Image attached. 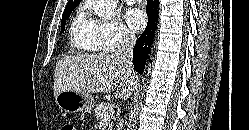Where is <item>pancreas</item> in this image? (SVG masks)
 I'll return each instance as SVG.
<instances>
[{"mask_svg":"<svg viewBox=\"0 0 249 130\" xmlns=\"http://www.w3.org/2000/svg\"><path fill=\"white\" fill-rule=\"evenodd\" d=\"M110 109H112V106L108 103H99L96 105L95 109H94V113H95V117L98 121L102 122L101 120V114L103 112H107L109 111Z\"/></svg>","mask_w":249,"mask_h":130,"instance_id":"pancreas-1","label":"pancreas"}]
</instances>
